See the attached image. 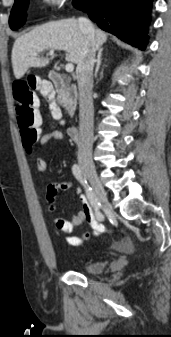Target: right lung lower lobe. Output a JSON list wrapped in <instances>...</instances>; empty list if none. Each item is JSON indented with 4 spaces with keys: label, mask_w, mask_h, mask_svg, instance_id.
<instances>
[{
    "label": "right lung lower lobe",
    "mask_w": 171,
    "mask_h": 337,
    "mask_svg": "<svg viewBox=\"0 0 171 337\" xmlns=\"http://www.w3.org/2000/svg\"><path fill=\"white\" fill-rule=\"evenodd\" d=\"M153 0H74L97 25L123 41L145 49Z\"/></svg>",
    "instance_id": "obj_1"
}]
</instances>
